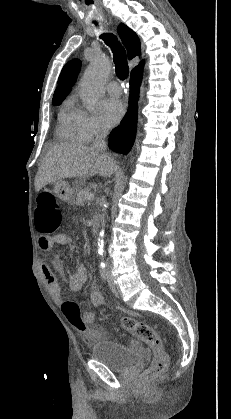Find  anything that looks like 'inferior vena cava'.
Listing matches in <instances>:
<instances>
[{"label": "inferior vena cava", "mask_w": 231, "mask_h": 419, "mask_svg": "<svg viewBox=\"0 0 231 419\" xmlns=\"http://www.w3.org/2000/svg\"><path fill=\"white\" fill-rule=\"evenodd\" d=\"M108 130L106 128H102L95 137L93 148L97 151L104 152L106 150V142L105 138L107 135Z\"/></svg>", "instance_id": "602c4592"}]
</instances>
